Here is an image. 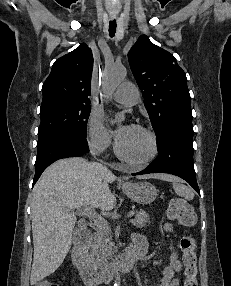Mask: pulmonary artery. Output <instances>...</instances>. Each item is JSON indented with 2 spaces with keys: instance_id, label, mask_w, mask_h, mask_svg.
I'll return each instance as SVG.
<instances>
[{
  "instance_id": "pulmonary-artery-1",
  "label": "pulmonary artery",
  "mask_w": 231,
  "mask_h": 286,
  "mask_svg": "<svg viewBox=\"0 0 231 286\" xmlns=\"http://www.w3.org/2000/svg\"><path fill=\"white\" fill-rule=\"evenodd\" d=\"M113 99L124 106H133L139 99L138 90L133 83L123 82L114 92Z\"/></svg>"
}]
</instances>
